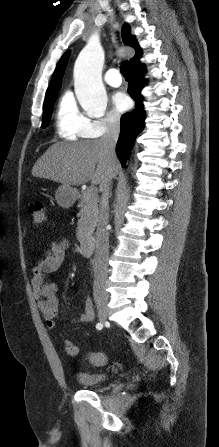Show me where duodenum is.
Instances as JSON below:
<instances>
[{
	"mask_svg": "<svg viewBox=\"0 0 219 447\" xmlns=\"http://www.w3.org/2000/svg\"><path fill=\"white\" fill-rule=\"evenodd\" d=\"M93 247V241L91 239H83L81 241V251L85 254V255H89L91 250Z\"/></svg>",
	"mask_w": 219,
	"mask_h": 447,
	"instance_id": "duodenum-1",
	"label": "duodenum"
}]
</instances>
